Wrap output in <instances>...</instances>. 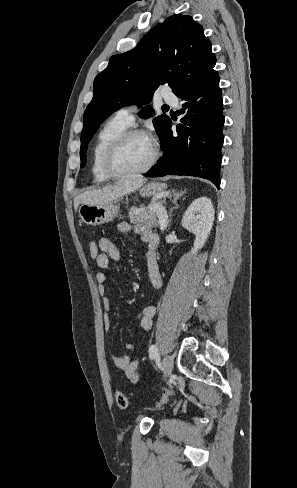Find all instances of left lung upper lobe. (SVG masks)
Masks as SVG:
<instances>
[{"label": "left lung upper lobe", "instance_id": "5c2ea615", "mask_svg": "<svg viewBox=\"0 0 297 488\" xmlns=\"http://www.w3.org/2000/svg\"><path fill=\"white\" fill-rule=\"evenodd\" d=\"M216 57L203 28L191 16L176 14L155 26L131 51L110 58L108 67L93 83L94 96L84 112L81 133V167L86 163L87 145L100 124L116 110L147 104L159 85L168 84L182 97L202 84L215 70ZM146 106L142 118L153 115ZM170 118H154L162 141Z\"/></svg>", "mask_w": 297, "mask_h": 488}]
</instances>
